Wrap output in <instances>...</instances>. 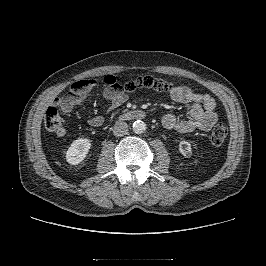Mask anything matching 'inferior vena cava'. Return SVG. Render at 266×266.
<instances>
[{"label":"inferior vena cava","mask_w":266,"mask_h":266,"mask_svg":"<svg viewBox=\"0 0 266 266\" xmlns=\"http://www.w3.org/2000/svg\"><path fill=\"white\" fill-rule=\"evenodd\" d=\"M128 132V125L126 122L117 121L113 127V134L115 136H123Z\"/></svg>","instance_id":"inferior-vena-cava-1"}]
</instances>
